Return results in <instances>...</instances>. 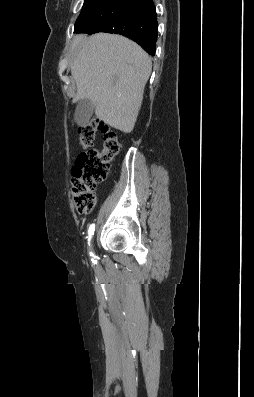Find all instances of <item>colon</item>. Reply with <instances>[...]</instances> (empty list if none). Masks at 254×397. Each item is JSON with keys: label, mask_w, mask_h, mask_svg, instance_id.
I'll return each instance as SVG.
<instances>
[{"label": "colon", "mask_w": 254, "mask_h": 397, "mask_svg": "<svg viewBox=\"0 0 254 397\" xmlns=\"http://www.w3.org/2000/svg\"><path fill=\"white\" fill-rule=\"evenodd\" d=\"M97 132L103 135V148L92 149ZM79 143L86 149L77 157L72 170V191L76 210L80 214L92 212L96 197L94 191L110 170V162L120 151L117 133L103 121L93 118L78 129Z\"/></svg>", "instance_id": "5ec220e1"}]
</instances>
